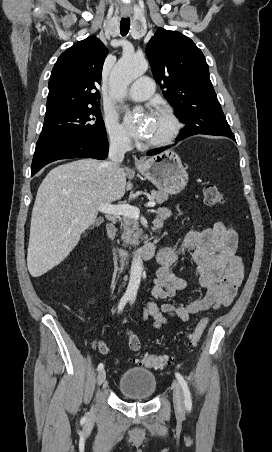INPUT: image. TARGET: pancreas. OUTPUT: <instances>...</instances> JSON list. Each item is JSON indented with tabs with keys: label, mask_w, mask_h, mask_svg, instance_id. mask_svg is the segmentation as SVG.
Wrapping results in <instances>:
<instances>
[{
	"label": "pancreas",
	"mask_w": 272,
	"mask_h": 452,
	"mask_svg": "<svg viewBox=\"0 0 272 452\" xmlns=\"http://www.w3.org/2000/svg\"><path fill=\"white\" fill-rule=\"evenodd\" d=\"M151 198L157 204H162L169 199V196L164 192L152 190ZM120 223L124 243L126 245H138L142 234V229H140L138 222L132 217L123 216L120 219Z\"/></svg>",
	"instance_id": "obj_1"
}]
</instances>
